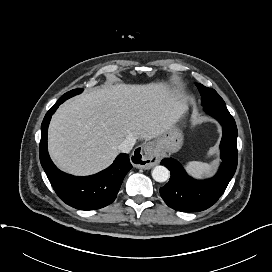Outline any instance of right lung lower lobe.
<instances>
[{
  "instance_id": "98d812e1",
  "label": "right lung lower lobe",
  "mask_w": 272,
  "mask_h": 272,
  "mask_svg": "<svg viewBox=\"0 0 272 272\" xmlns=\"http://www.w3.org/2000/svg\"><path fill=\"white\" fill-rule=\"evenodd\" d=\"M63 103L57 101L41 125L39 156L41 165L56 194L63 202L80 210L100 209L112 203L132 165L127 154H120L107 169L91 176L76 177L60 171L47 150V131L52 115Z\"/></svg>"
}]
</instances>
